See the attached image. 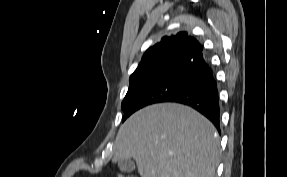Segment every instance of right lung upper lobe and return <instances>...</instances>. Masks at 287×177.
<instances>
[{
  "instance_id": "obj_1",
  "label": "right lung upper lobe",
  "mask_w": 287,
  "mask_h": 177,
  "mask_svg": "<svg viewBox=\"0 0 287 177\" xmlns=\"http://www.w3.org/2000/svg\"><path fill=\"white\" fill-rule=\"evenodd\" d=\"M203 50L196 39L180 32L176 35L165 36L159 43L151 46L143 55L137 69L148 67L167 58H177L181 62L191 61ZM135 70V71H136Z\"/></svg>"
}]
</instances>
